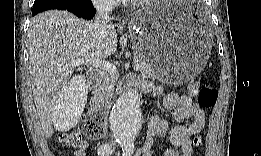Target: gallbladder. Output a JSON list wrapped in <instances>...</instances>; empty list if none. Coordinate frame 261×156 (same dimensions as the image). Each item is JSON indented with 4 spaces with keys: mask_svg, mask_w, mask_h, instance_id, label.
Wrapping results in <instances>:
<instances>
[{
    "mask_svg": "<svg viewBox=\"0 0 261 156\" xmlns=\"http://www.w3.org/2000/svg\"><path fill=\"white\" fill-rule=\"evenodd\" d=\"M86 77L84 75H75L69 83L65 85L67 88L59 94L58 103L52 107L51 122L53 127L59 131L70 130L75 127L77 122L82 118L87 102L88 87L86 86Z\"/></svg>",
    "mask_w": 261,
    "mask_h": 156,
    "instance_id": "1",
    "label": "gallbladder"
}]
</instances>
